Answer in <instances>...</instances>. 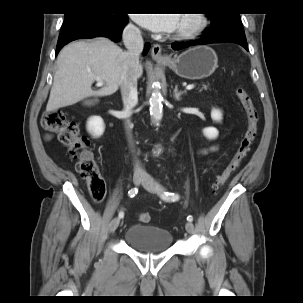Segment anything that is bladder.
<instances>
[{"label":"bladder","mask_w":303,"mask_h":303,"mask_svg":"<svg viewBox=\"0 0 303 303\" xmlns=\"http://www.w3.org/2000/svg\"><path fill=\"white\" fill-rule=\"evenodd\" d=\"M124 241L145 253H161L171 246L173 236L169 231L155 226L133 224L126 230Z\"/></svg>","instance_id":"31cf9c89"}]
</instances>
